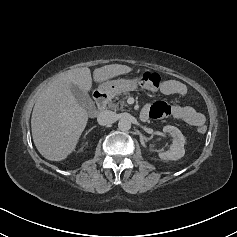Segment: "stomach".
<instances>
[{
  "label": "stomach",
  "mask_w": 237,
  "mask_h": 237,
  "mask_svg": "<svg viewBox=\"0 0 237 237\" xmlns=\"http://www.w3.org/2000/svg\"><path fill=\"white\" fill-rule=\"evenodd\" d=\"M139 83V78L132 80L117 79L102 83L98 89L108 97H114L123 92L136 90Z\"/></svg>",
  "instance_id": "0dacf381"
}]
</instances>
